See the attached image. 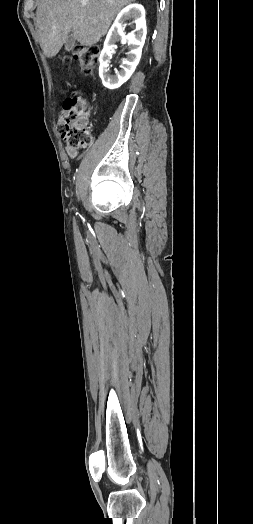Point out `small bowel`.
Segmentation results:
<instances>
[{
  "instance_id": "small-bowel-1",
  "label": "small bowel",
  "mask_w": 253,
  "mask_h": 524,
  "mask_svg": "<svg viewBox=\"0 0 253 524\" xmlns=\"http://www.w3.org/2000/svg\"><path fill=\"white\" fill-rule=\"evenodd\" d=\"M66 152L71 158H76L78 155V151L76 149H72L70 147H66Z\"/></svg>"
}]
</instances>
